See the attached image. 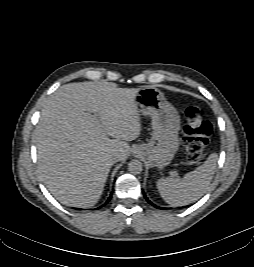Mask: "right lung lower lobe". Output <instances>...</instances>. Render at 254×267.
Listing matches in <instances>:
<instances>
[{
  "label": "right lung lower lobe",
  "mask_w": 254,
  "mask_h": 267,
  "mask_svg": "<svg viewBox=\"0 0 254 267\" xmlns=\"http://www.w3.org/2000/svg\"><path fill=\"white\" fill-rule=\"evenodd\" d=\"M111 197H112V194L110 195V197L108 198V200L106 201V203H108V202L110 201ZM99 208H100V207H99ZM99 208H98V209H99Z\"/></svg>",
  "instance_id": "1"
}]
</instances>
